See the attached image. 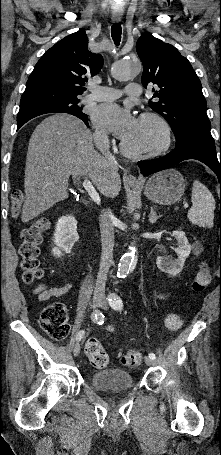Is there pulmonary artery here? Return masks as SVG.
Segmentation results:
<instances>
[{"label": "pulmonary artery", "instance_id": "obj_1", "mask_svg": "<svg viewBox=\"0 0 221 455\" xmlns=\"http://www.w3.org/2000/svg\"><path fill=\"white\" fill-rule=\"evenodd\" d=\"M124 92L128 95H140L141 88L137 83L128 84ZM122 95V92L118 89L111 87H100V86H91L90 93L84 97V101L87 102H103V101H113L119 98Z\"/></svg>", "mask_w": 221, "mask_h": 455}]
</instances>
